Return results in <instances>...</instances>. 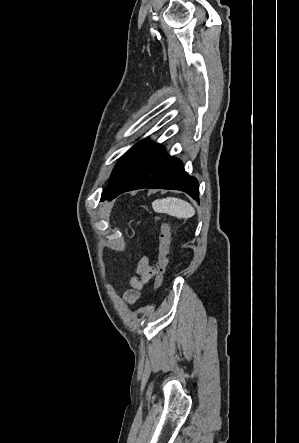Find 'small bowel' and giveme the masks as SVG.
Instances as JSON below:
<instances>
[{
  "label": "small bowel",
  "instance_id": "1",
  "mask_svg": "<svg viewBox=\"0 0 299 443\" xmlns=\"http://www.w3.org/2000/svg\"><path fill=\"white\" fill-rule=\"evenodd\" d=\"M155 275V269L151 266L148 257H142L137 263L135 273L129 280L130 289L124 294V300L127 304H135L139 297L140 291L144 289L147 283Z\"/></svg>",
  "mask_w": 299,
  "mask_h": 443
}]
</instances>
